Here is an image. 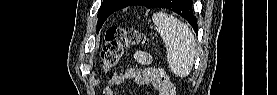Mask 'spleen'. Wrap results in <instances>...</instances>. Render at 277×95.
I'll list each match as a JSON object with an SVG mask.
<instances>
[{
	"label": "spleen",
	"mask_w": 277,
	"mask_h": 95,
	"mask_svg": "<svg viewBox=\"0 0 277 95\" xmlns=\"http://www.w3.org/2000/svg\"><path fill=\"white\" fill-rule=\"evenodd\" d=\"M152 22L163 39L167 50V61L171 71L186 77L192 70L196 52V42L186 24L172 15L158 12Z\"/></svg>",
	"instance_id": "spleen-1"
}]
</instances>
